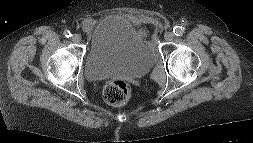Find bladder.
Masks as SVG:
<instances>
[{"instance_id":"bladder-1","label":"bladder","mask_w":253,"mask_h":143,"mask_svg":"<svg viewBox=\"0 0 253 143\" xmlns=\"http://www.w3.org/2000/svg\"><path fill=\"white\" fill-rule=\"evenodd\" d=\"M147 37L123 15L98 18L88 35L85 74L90 81L115 76L139 78L154 65Z\"/></svg>"}]
</instances>
